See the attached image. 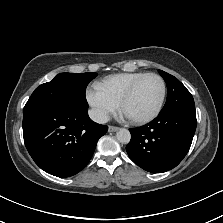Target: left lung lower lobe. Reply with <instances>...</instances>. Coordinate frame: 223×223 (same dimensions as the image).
<instances>
[{
	"label": "left lung lower lobe",
	"instance_id": "1",
	"mask_svg": "<svg viewBox=\"0 0 223 223\" xmlns=\"http://www.w3.org/2000/svg\"><path fill=\"white\" fill-rule=\"evenodd\" d=\"M195 110L179 109L159 113L150 123L129 129L126 146L129 157L151 173L176 167L186 156L196 130Z\"/></svg>",
	"mask_w": 223,
	"mask_h": 223
}]
</instances>
